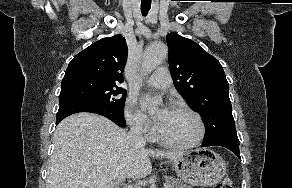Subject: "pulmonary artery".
<instances>
[{
	"label": "pulmonary artery",
	"instance_id": "obj_1",
	"mask_svg": "<svg viewBox=\"0 0 292 188\" xmlns=\"http://www.w3.org/2000/svg\"><path fill=\"white\" fill-rule=\"evenodd\" d=\"M147 84L157 89H167L171 85L169 70L165 67L158 68L147 79Z\"/></svg>",
	"mask_w": 292,
	"mask_h": 188
}]
</instances>
